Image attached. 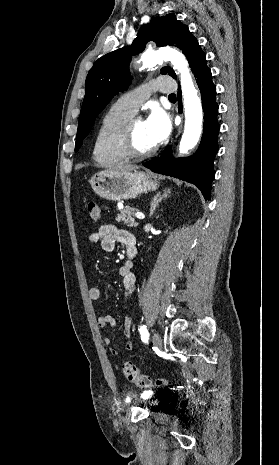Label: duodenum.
Returning a JSON list of instances; mask_svg holds the SVG:
<instances>
[{
  "mask_svg": "<svg viewBox=\"0 0 279 465\" xmlns=\"http://www.w3.org/2000/svg\"><path fill=\"white\" fill-rule=\"evenodd\" d=\"M128 256H129V257H133V256H134V252H133L132 250H130V251L128 252Z\"/></svg>",
  "mask_w": 279,
  "mask_h": 465,
  "instance_id": "410a0bca",
  "label": "duodenum"
}]
</instances>
